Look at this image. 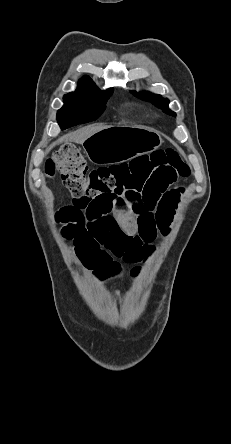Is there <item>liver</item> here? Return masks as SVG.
Segmentation results:
<instances>
[{"instance_id":"liver-1","label":"liver","mask_w":231,"mask_h":444,"mask_svg":"<svg viewBox=\"0 0 231 444\" xmlns=\"http://www.w3.org/2000/svg\"><path fill=\"white\" fill-rule=\"evenodd\" d=\"M109 126H104L101 124H95V125H89L86 126L84 128H81L75 132H73L72 134H68L64 137L61 138V141L63 140H70L72 142H75L77 144H83V142L90 137L91 135H93L94 133L101 131L105 128H108Z\"/></svg>"}]
</instances>
